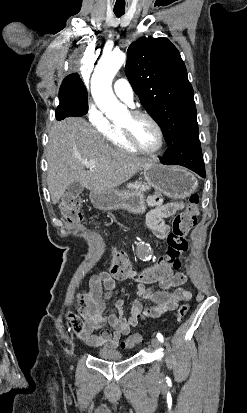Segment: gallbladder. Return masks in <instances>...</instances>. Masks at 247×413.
I'll list each match as a JSON object with an SVG mask.
<instances>
[{
  "instance_id": "obj_1",
  "label": "gallbladder",
  "mask_w": 247,
  "mask_h": 413,
  "mask_svg": "<svg viewBox=\"0 0 247 413\" xmlns=\"http://www.w3.org/2000/svg\"><path fill=\"white\" fill-rule=\"evenodd\" d=\"M82 190H84V186L81 182H71L68 186V194H70V196H79Z\"/></svg>"
}]
</instances>
